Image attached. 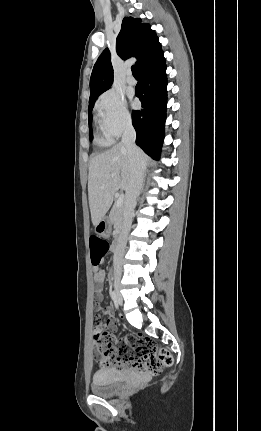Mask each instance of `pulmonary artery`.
<instances>
[{
    "instance_id": "1",
    "label": "pulmonary artery",
    "mask_w": 261,
    "mask_h": 431,
    "mask_svg": "<svg viewBox=\"0 0 261 431\" xmlns=\"http://www.w3.org/2000/svg\"><path fill=\"white\" fill-rule=\"evenodd\" d=\"M126 82H127L129 85H135V84H136V80H135V78L132 76V74H131V72H130V71L128 72V76H127V78H126Z\"/></svg>"
}]
</instances>
